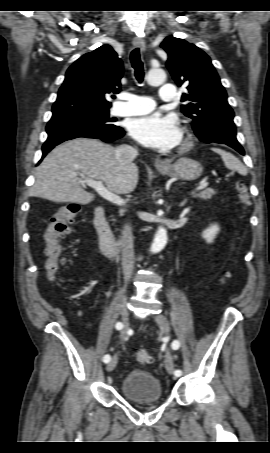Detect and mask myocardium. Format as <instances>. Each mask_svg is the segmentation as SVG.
Segmentation results:
<instances>
[{
	"instance_id": "f54148a6",
	"label": "myocardium",
	"mask_w": 270,
	"mask_h": 453,
	"mask_svg": "<svg viewBox=\"0 0 270 453\" xmlns=\"http://www.w3.org/2000/svg\"><path fill=\"white\" fill-rule=\"evenodd\" d=\"M191 146H192L191 138H190L189 135H186V136L183 138V140H182V142H181V144H180L179 149H180V151H186V150H188Z\"/></svg>"
}]
</instances>
